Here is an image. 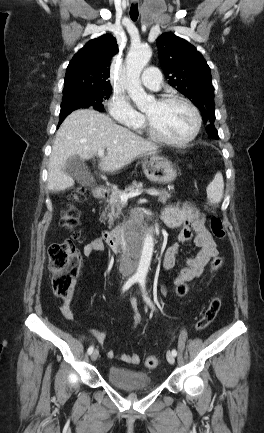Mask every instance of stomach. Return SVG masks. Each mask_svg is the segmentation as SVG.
Returning a JSON list of instances; mask_svg holds the SVG:
<instances>
[{
  "label": "stomach",
  "instance_id": "stomach-1",
  "mask_svg": "<svg viewBox=\"0 0 264 433\" xmlns=\"http://www.w3.org/2000/svg\"><path fill=\"white\" fill-rule=\"evenodd\" d=\"M142 169L148 180L168 184L177 177V170L172 162L155 155H146L142 161Z\"/></svg>",
  "mask_w": 264,
  "mask_h": 433
}]
</instances>
